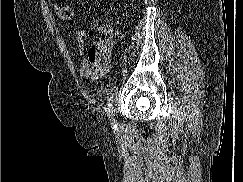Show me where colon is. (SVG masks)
Wrapping results in <instances>:
<instances>
[{
    "label": "colon",
    "mask_w": 243,
    "mask_h": 182,
    "mask_svg": "<svg viewBox=\"0 0 243 182\" xmlns=\"http://www.w3.org/2000/svg\"><path fill=\"white\" fill-rule=\"evenodd\" d=\"M55 11L58 17L62 20H71L74 16V10L68 2H58L55 4ZM97 39V44L93 47V54L101 58H109L114 52V43L111 33L102 28L94 33Z\"/></svg>",
    "instance_id": "colon-1"
}]
</instances>
